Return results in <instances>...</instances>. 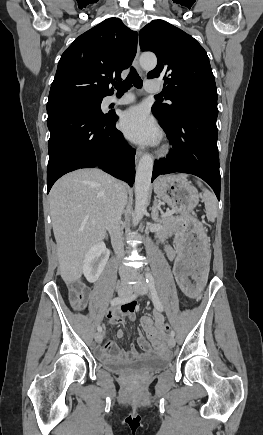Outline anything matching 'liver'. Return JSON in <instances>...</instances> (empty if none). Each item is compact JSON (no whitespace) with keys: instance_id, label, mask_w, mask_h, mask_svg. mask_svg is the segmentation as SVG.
Returning a JSON list of instances; mask_svg holds the SVG:
<instances>
[{"instance_id":"obj_1","label":"liver","mask_w":263,"mask_h":435,"mask_svg":"<svg viewBox=\"0 0 263 435\" xmlns=\"http://www.w3.org/2000/svg\"><path fill=\"white\" fill-rule=\"evenodd\" d=\"M117 182L99 169H82L60 178L49 193L59 270L66 283L78 280L86 252L102 241Z\"/></svg>"}]
</instances>
